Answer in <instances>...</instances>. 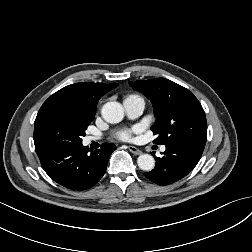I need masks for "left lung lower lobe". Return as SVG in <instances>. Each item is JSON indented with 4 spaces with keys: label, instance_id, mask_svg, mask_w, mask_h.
I'll return each mask as SVG.
<instances>
[{
    "label": "left lung lower lobe",
    "instance_id": "obj_1",
    "mask_svg": "<svg viewBox=\"0 0 252 252\" xmlns=\"http://www.w3.org/2000/svg\"><path fill=\"white\" fill-rule=\"evenodd\" d=\"M205 145L185 141L166 145L163 157H156L155 168L145 173L152 182L169 185L189 174L201 158Z\"/></svg>",
    "mask_w": 252,
    "mask_h": 252
}]
</instances>
